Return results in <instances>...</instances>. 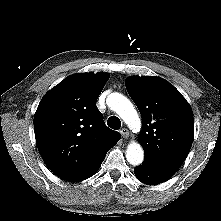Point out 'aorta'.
<instances>
[{
	"label": "aorta",
	"mask_w": 221,
	"mask_h": 221,
	"mask_svg": "<svg viewBox=\"0 0 221 221\" xmlns=\"http://www.w3.org/2000/svg\"><path fill=\"white\" fill-rule=\"evenodd\" d=\"M107 105L121 117L130 129H140L141 121L138 113L126 97L119 93H111L107 97ZM126 159L133 166L140 165L143 162L144 151L138 142L134 141L128 145Z\"/></svg>",
	"instance_id": "762f6f07"
}]
</instances>
